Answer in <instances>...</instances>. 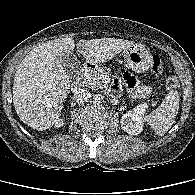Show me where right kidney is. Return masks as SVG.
I'll return each mask as SVG.
<instances>
[{"label":"right kidney","instance_id":"obj_1","mask_svg":"<svg viewBox=\"0 0 195 195\" xmlns=\"http://www.w3.org/2000/svg\"><path fill=\"white\" fill-rule=\"evenodd\" d=\"M63 125H64V122H63L62 119H58V120L56 121V123H55V127H56V128H60V127L63 126Z\"/></svg>","mask_w":195,"mask_h":195}]
</instances>
